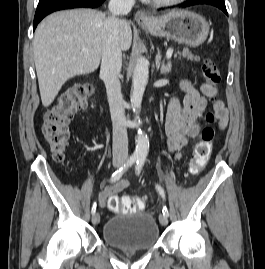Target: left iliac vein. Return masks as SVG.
<instances>
[{"instance_id":"obj_1","label":"left iliac vein","mask_w":265,"mask_h":269,"mask_svg":"<svg viewBox=\"0 0 265 269\" xmlns=\"http://www.w3.org/2000/svg\"><path fill=\"white\" fill-rule=\"evenodd\" d=\"M159 221L163 226H166L168 224V218L163 214L159 216Z\"/></svg>"}]
</instances>
